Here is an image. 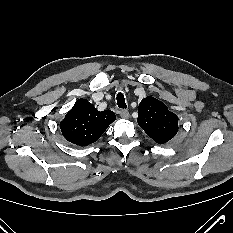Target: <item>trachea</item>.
<instances>
[{
  "mask_svg": "<svg viewBox=\"0 0 233 233\" xmlns=\"http://www.w3.org/2000/svg\"><path fill=\"white\" fill-rule=\"evenodd\" d=\"M116 99H117V105L119 108L125 109L127 107L125 103L124 95L121 92L117 94Z\"/></svg>",
  "mask_w": 233,
  "mask_h": 233,
  "instance_id": "obj_1",
  "label": "trachea"
}]
</instances>
